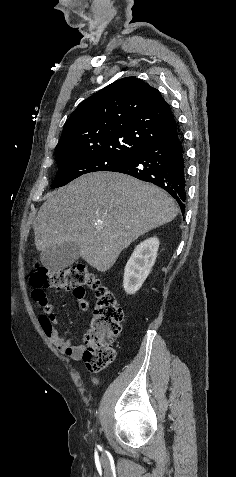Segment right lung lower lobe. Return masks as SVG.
Masks as SVG:
<instances>
[{"mask_svg": "<svg viewBox=\"0 0 236 477\" xmlns=\"http://www.w3.org/2000/svg\"><path fill=\"white\" fill-rule=\"evenodd\" d=\"M112 172L131 175L166 190L185 212L186 181L182 138L178 130L165 140L137 152Z\"/></svg>", "mask_w": 236, "mask_h": 477, "instance_id": "1", "label": "right lung lower lobe"}]
</instances>
